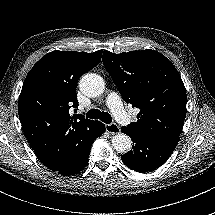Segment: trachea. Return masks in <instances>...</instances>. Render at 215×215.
Segmentation results:
<instances>
[{"label":"trachea","mask_w":215,"mask_h":215,"mask_svg":"<svg viewBox=\"0 0 215 215\" xmlns=\"http://www.w3.org/2000/svg\"><path fill=\"white\" fill-rule=\"evenodd\" d=\"M85 116L90 119H100L102 122L110 124L112 123V117L107 112H100L98 109L89 110Z\"/></svg>","instance_id":"1"}]
</instances>
